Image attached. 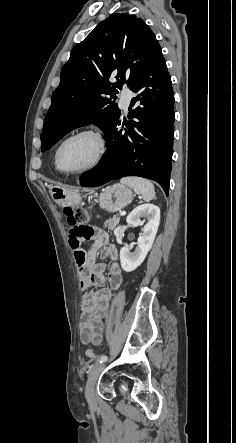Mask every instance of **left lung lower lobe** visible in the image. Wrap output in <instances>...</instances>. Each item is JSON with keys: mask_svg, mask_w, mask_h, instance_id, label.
<instances>
[{"mask_svg": "<svg viewBox=\"0 0 236 443\" xmlns=\"http://www.w3.org/2000/svg\"><path fill=\"white\" fill-rule=\"evenodd\" d=\"M137 93L130 103L134 118L126 131L118 130L120 119L105 134L108 150L100 165L82 174L80 185L96 187L125 176H140L158 182L166 195L173 148L174 93L159 43L156 44L135 81Z\"/></svg>", "mask_w": 236, "mask_h": 443, "instance_id": "left-lung-lower-lobe-1", "label": "left lung lower lobe"}]
</instances>
